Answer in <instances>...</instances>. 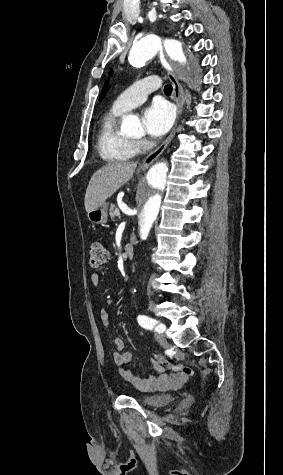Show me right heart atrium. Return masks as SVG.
<instances>
[{
  "label": "right heart atrium",
  "instance_id": "d8ad5b80",
  "mask_svg": "<svg viewBox=\"0 0 283 475\" xmlns=\"http://www.w3.org/2000/svg\"><path fill=\"white\" fill-rule=\"evenodd\" d=\"M134 143V146L139 150V149H142L143 148V144L141 141H135L133 142Z\"/></svg>",
  "mask_w": 283,
  "mask_h": 475
}]
</instances>
